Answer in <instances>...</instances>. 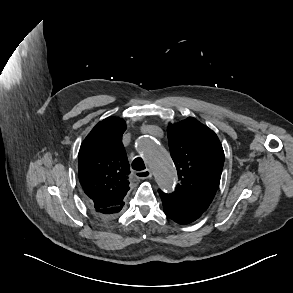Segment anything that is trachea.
<instances>
[{"label": "trachea", "instance_id": "obj_1", "mask_svg": "<svg viewBox=\"0 0 293 293\" xmlns=\"http://www.w3.org/2000/svg\"><path fill=\"white\" fill-rule=\"evenodd\" d=\"M132 168L136 171H141L145 169V164L141 158H135L132 162Z\"/></svg>", "mask_w": 293, "mask_h": 293}]
</instances>
